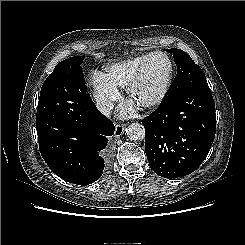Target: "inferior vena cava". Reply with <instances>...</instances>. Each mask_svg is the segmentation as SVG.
<instances>
[{"instance_id":"1","label":"inferior vena cava","mask_w":245,"mask_h":245,"mask_svg":"<svg viewBox=\"0 0 245 245\" xmlns=\"http://www.w3.org/2000/svg\"><path fill=\"white\" fill-rule=\"evenodd\" d=\"M98 110L106 116H109L114 105L111 101L101 100L96 103Z\"/></svg>"}]
</instances>
